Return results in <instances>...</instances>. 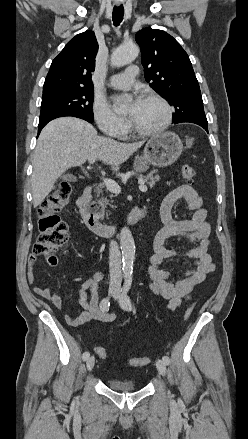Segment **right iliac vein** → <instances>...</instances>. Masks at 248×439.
Segmentation results:
<instances>
[{
	"instance_id": "63e3f726",
	"label": "right iliac vein",
	"mask_w": 248,
	"mask_h": 439,
	"mask_svg": "<svg viewBox=\"0 0 248 439\" xmlns=\"http://www.w3.org/2000/svg\"><path fill=\"white\" fill-rule=\"evenodd\" d=\"M109 293L111 295H115L116 294V290L114 288H110ZM95 365V357L94 356H90L87 361H86V368L88 371H91L93 369Z\"/></svg>"
}]
</instances>
